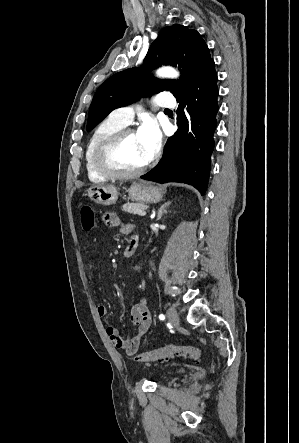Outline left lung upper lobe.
Returning a JSON list of instances; mask_svg holds the SVG:
<instances>
[{
  "mask_svg": "<svg viewBox=\"0 0 299 443\" xmlns=\"http://www.w3.org/2000/svg\"><path fill=\"white\" fill-rule=\"evenodd\" d=\"M201 35L182 25L165 28L151 44L140 68L118 72L107 79L92 100L87 131H91L112 110L137 101L152 91H170L175 97L183 93L211 62ZM178 66L179 80L156 79L148 73L157 66Z\"/></svg>",
  "mask_w": 299,
  "mask_h": 443,
  "instance_id": "obj_1",
  "label": "left lung upper lobe"
}]
</instances>
